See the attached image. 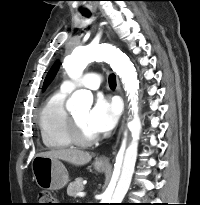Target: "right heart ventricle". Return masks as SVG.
<instances>
[{"label":"right heart ventricle","instance_id":"right-heart-ventricle-1","mask_svg":"<svg viewBox=\"0 0 200 205\" xmlns=\"http://www.w3.org/2000/svg\"><path fill=\"white\" fill-rule=\"evenodd\" d=\"M67 94L62 89L53 93L39 112L40 135L48 149H65L73 144L68 135V113L64 106Z\"/></svg>","mask_w":200,"mask_h":205}]
</instances>
